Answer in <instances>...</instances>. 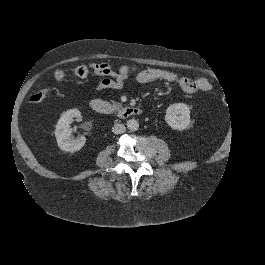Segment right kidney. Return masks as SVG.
I'll use <instances>...</instances> for the list:
<instances>
[{"mask_svg":"<svg viewBox=\"0 0 265 265\" xmlns=\"http://www.w3.org/2000/svg\"><path fill=\"white\" fill-rule=\"evenodd\" d=\"M74 117H81V112L78 109L66 111L58 120L55 129L58 146L61 150L67 152L80 150L86 142V138L84 136H80L77 139L72 138V129L70 128V124L73 122Z\"/></svg>","mask_w":265,"mask_h":265,"instance_id":"1","label":"right kidney"}]
</instances>
